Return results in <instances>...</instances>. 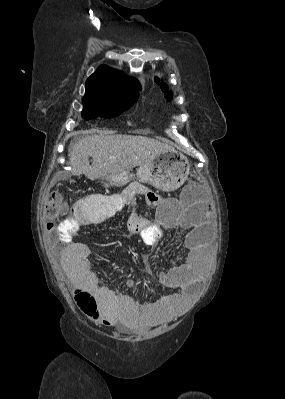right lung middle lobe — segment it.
<instances>
[{"label":"right lung middle lobe","mask_w":285,"mask_h":399,"mask_svg":"<svg viewBox=\"0 0 285 399\" xmlns=\"http://www.w3.org/2000/svg\"><path fill=\"white\" fill-rule=\"evenodd\" d=\"M139 95L116 97L110 99H82V117L85 120L101 118H112L129 109L137 100Z\"/></svg>","instance_id":"obj_1"}]
</instances>
